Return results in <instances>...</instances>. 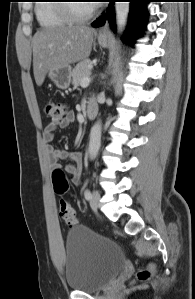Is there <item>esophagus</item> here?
Instances as JSON below:
<instances>
[{
    "label": "esophagus",
    "instance_id": "esophagus-1",
    "mask_svg": "<svg viewBox=\"0 0 195 299\" xmlns=\"http://www.w3.org/2000/svg\"><path fill=\"white\" fill-rule=\"evenodd\" d=\"M99 37L106 38L109 35V27L106 23L99 31Z\"/></svg>",
    "mask_w": 195,
    "mask_h": 299
}]
</instances>
